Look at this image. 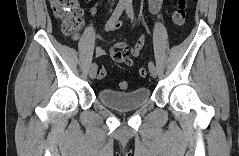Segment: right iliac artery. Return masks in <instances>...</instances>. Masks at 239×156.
I'll return each mask as SVG.
<instances>
[{
  "label": "right iliac artery",
  "instance_id": "82829eb1",
  "mask_svg": "<svg viewBox=\"0 0 239 156\" xmlns=\"http://www.w3.org/2000/svg\"><path fill=\"white\" fill-rule=\"evenodd\" d=\"M125 9V3L120 2L117 4L114 12L112 13L111 17L109 18V20L107 21L106 25H105V30L109 31L113 28V26L115 25V23L118 21L119 17L121 16L122 12ZM97 66L96 63H92L91 67H95Z\"/></svg>",
  "mask_w": 239,
  "mask_h": 156
}]
</instances>
